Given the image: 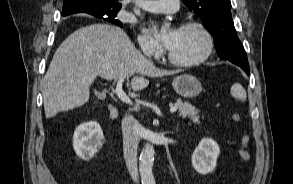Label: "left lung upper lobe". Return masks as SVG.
I'll list each match as a JSON object with an SVG mask.
<instances>
[{
  "label": "left lung upper lobe",
  "mask_w": 293,
  "mask_h": 184,
  "mask_svg": "<svg viewBox=\"0 0 293 184\" xmlns=\"http://www.w3.org/2000/svg\"><path fill=\"white\" fill-rule=\"evenodd\" d=\"M182 1L202 19L214 38L215 47L220 57L228 60L241 57L235 51L222 50L224 46H232L235 41H240L232 20L230 0Z\"/></svg>",
  "instance_id": "left-lung-upper-lobe-1"
}]
</instances>
